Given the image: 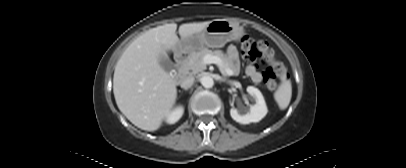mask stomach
<instances>
[{
    "label": "stomach",
    "instance_id": "0dacf381",
    "mask_svg": "<svg viewBox=\"0 0 406 168\" xmlns=\"http://www.w3.org/2000/svg\"><path fill=\"white\" fill-rule=\"evenodd\" d=\"M244 34L243 28L235 22L226 19L211 21L200 33L181 39L175 47V54L194 53L204 47L220 48L227 42L239 40Z\"/></svg>",
    "mask_w": 406,
    "mask_h": 168
}]
</instances>
